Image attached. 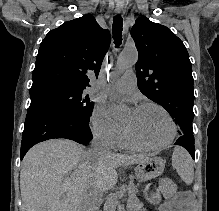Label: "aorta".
Returning a JSON list of instances; mask_svg holds the SVG:
<instances>
[{"label": "aorta", "mask_w": 219, "mask_h": 211, "mask_svg": "<svg viewBox=\"0 0 219 211\" xmlns=\"http://www.w3.org/2000/svg\"><path fill=\"white\" fill-rule=\"evenodd\" d=\"M138 60V52L136 49H125L121 52L117 59L116 68L119 71H124L133 66ZM110 114L114 118L122 116L127 111V106L122 103H117L110 97ZM119 205V197L116 193L110 194L104 204V211H116Z\"/></svg>", "instance_id": "762f6f07"}]
</instances>
